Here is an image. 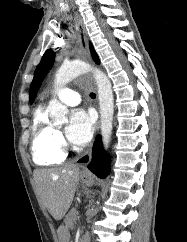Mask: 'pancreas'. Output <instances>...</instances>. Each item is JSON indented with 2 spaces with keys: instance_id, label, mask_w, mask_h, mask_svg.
<instances>
[{
  "instance_id": "cf45deb5",
  "label": "pancreas",
  "mask_w": 187,
  "mask_h": 242,
  "mask_svg": "<svg viewBox=\"0 0 187 242\" xmlns=\"http://www.w3.org/2000/svg\"><path fill=\"white\" fill-rule=\"evenodd\" d=\"M77 211L76 209H72L68 215L67 218L65 219V225L66 227H73L77 218Z\"/></svg>"
}]
</instances>
